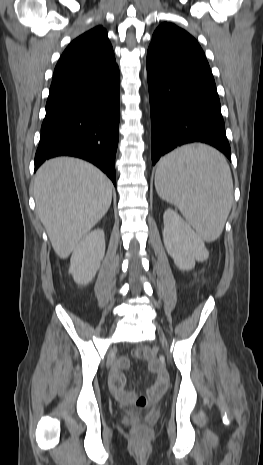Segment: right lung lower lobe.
I'll use <instances>...</instances> for the list:
<instances>
[{"instance_id":"obj_1","label":"right lung lower lobe","mask_w":263,"mask_h":465,"mask_svg":"<svg viewBox=\"0 0 263 465\" xmlns=\"http://www.w3.org/2000/svg\"><path fill=\"white\" fill-rule=\"evenodd\" d=\"M120 73L50 87L35 170L52 157L85 159L116 184Z\"/></svg>"}]
</instances>
